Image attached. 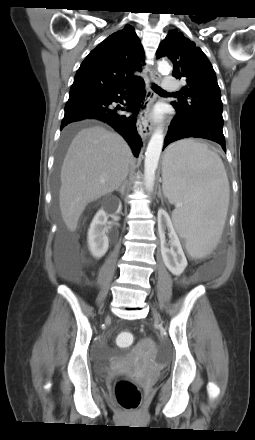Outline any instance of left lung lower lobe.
Segmentation results:
<instances>
[{
  "label": "left lung lower lobe",
  "mask_w": 255,
  "mask_h": 440,
  "mask_svg": "<svg viewBox=\"0 0 255 440\" xmlns=\"http://www.w3.org/2000/svg\"><path fill=\"white\" fill-rule=\"evenodd\" d=\"M204 138L220 144L226 152L223 121L214 117H190L177 113L168 127L163 149L183 138Z\"/></svg>",
  "instance_id": "obj_1"
}]
</instances>
